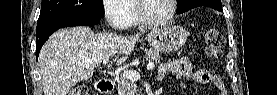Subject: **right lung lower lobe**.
<instances>
[{
    "mask_svg": "<svg viewBox=\"0 0 277 95\" xmlns=\"http://www.w3.org/2000/svg\"><path fill=\"white\" fill-rule=\"evenodd\" d=\"M101 18H88L79 20H53L45 23L37 24L36 30V58L38 59L39 52L46 42L48 37L56 30L64 27L73 26H91L96 25L100 22Z\"/></svg>",
    "mask_w": 277,
    "mask_h": 95,
    "instance_id": "98d812e1",
    "label": "right lung lower lobe"
}]
</instances>
